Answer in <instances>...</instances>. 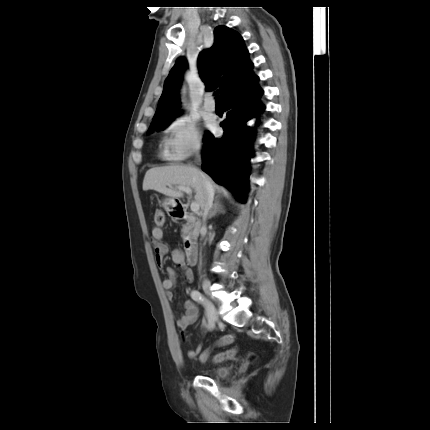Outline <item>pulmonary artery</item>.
I'll use <instances>...</instances> for the list:
<instances>
[{
	"mask_svg": "<svg viewBox=\"0 0 430 430\" xmlns=\"http://www.w3.org/2000/svg\"><path fill=\"white\" fill-rule=\"evenodd\" d=\"M204 108L207 111H214L216 109L215 102L211 99L210 96H207L204 100Z\"/></svg>",
	"mask_w": 430,
	"mask_h": 430,
	"instance_id": "e3ab8cb5",
	"label": "pulmonary artery"
}]
</instances>
